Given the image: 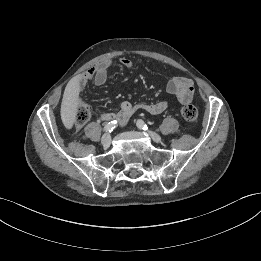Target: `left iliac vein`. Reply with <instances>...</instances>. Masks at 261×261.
<instances>
[{
  "mask_svg": "<svg viewBox=\"0 0 261 261\" xmlns=\"http://www.w3.org/2000/svg\"><path fill=\"white\" fill-rule=\"evenodd\" d=\"M147 132L151 136V138L153 139L154 142H156V143H160L161 142L162 139H161L160 135H158L157 133L152 132L150 130H148Z\"/></svg>",
  "mask_w": 261,
  "mask_h": 261,
  "instance_id": "4c4485c4",
  "label": "left iliac vein"
}]
</instances>
